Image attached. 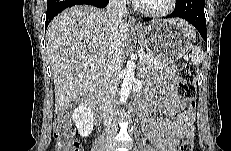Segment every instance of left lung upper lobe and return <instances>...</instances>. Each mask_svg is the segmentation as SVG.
I'll return each mask as SVG.
<instances>
[{
  "label": "left lung upper lobe",
  "mask_w": 231,
  "mask_h": 151,
  "mask_svg": "<svg viewBox=\"0 0 231 151\" xmlns=\"http://www.w3.org/2000/svg\"><path fill=\"white\" fill-rule=\"evenodd\" d=\"M181 1H182V0H177V1H176V6H179V4H180Z\"/></svg>",
  "instance_id": "obj_1"
}]
</instances>
